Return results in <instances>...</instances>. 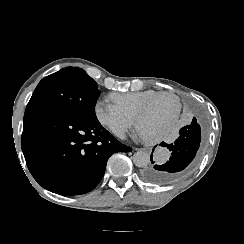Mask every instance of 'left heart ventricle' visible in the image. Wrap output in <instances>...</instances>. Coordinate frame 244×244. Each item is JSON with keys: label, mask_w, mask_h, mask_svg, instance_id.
I'll return each mask as SVG.
<instances>
[{"label": "left heart ventricle", "mask_w": 244, "mask_h": 244, "mask_svg": "<svg viewBox=\"0 0 244 244\" xmlns=\"http://www.w3.org/2000/svg\"><path fill=\"white\" fill-rule=\"evenodd\" d=\"M177 101L172 97L157 100L145 113L144 128L159 134L164 128V122L176 111Z\"/></svg>", "instance_id": "left-heart-ventricle-1"}]
</instances>
